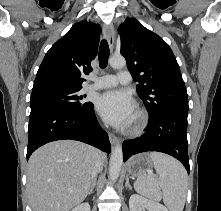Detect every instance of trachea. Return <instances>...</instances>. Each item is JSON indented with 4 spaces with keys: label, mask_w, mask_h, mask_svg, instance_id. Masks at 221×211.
Wrapping results in <instances>:
<instances>
[{
    "label": "trachea",
    "mask_w": 221,
    "mask_h": 211,
    "mask_svg": "<svg viewBox=\"0 0 221 211\" xmlns=\"http://www.w3.org/2000/svg\"><path fill=\"white\" fill-rule=\"evenodd\" d=\"M109 57V46L105 39L101 41L99 48V65L100 68H106Z\"/></svg>",
    "instance_id": "trachea-1"
}]
</instances>
